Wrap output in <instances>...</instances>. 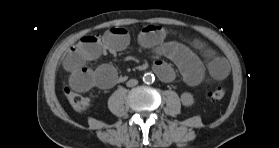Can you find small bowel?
Returning <instances> with one entry per match:
<instances>
[{"instance_id":"1","label":"small bowel","mask_w":279,"mask_h":148,"mask_svg":"<svg viewBox=\"0 0 279 148\" xmlns=\"http://www.w3.org/2000/svg\"><path fill=\"white\" fill-rule=\"evenodd\" d=\"M165 38L164 28L150 24L142 28L138 42L157 56L172 61L188 85L198 86L207 80H223L227 77L229 67L224 58L215 54L201 41L193 40L191 45L208 59L206 66L191 48L178 42L165 41ZM129 42V33L121 27H112L102 35L82 37L68 49L63 58L64 68L70 74V86L81 92L93 87L104 90L113 88L121 77L112 65L102 64L92 70L87 64L103 54H117L124 50ZM153 68L163 81L170 82L175 77L171 66L162 59H158Z\"/></svg>"}]
</instances>
